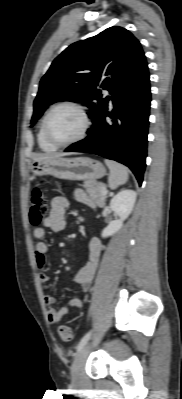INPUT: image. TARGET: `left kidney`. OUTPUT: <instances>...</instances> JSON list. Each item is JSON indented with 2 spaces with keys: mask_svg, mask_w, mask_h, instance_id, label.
I'll list each match as a JSON object with an SVG mask.
<instances>
[{
  "mask_svg": "<svg viewBox=\"0 0 182 399\" xmlns=\"http://www.w3.org/2000/svg\"><path fill=\"white\" fill-rule=\"evenodd\" d=\"M137 193L133 190H123L115 195L110 208L116 213L118 219L113 220L103 229L102 237L106 238L117 233L123 226V222L128 218L134 208Z\"/></svg>",
  "mask_w": 182,
  "mask_h": 399,
  "instance_id": "5707ae66",
  "label": "left kidney"
}]
</instances>
